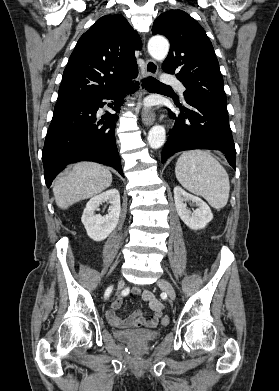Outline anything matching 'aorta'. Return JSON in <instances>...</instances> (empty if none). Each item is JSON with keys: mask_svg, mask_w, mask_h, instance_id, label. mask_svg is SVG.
Segmentation results:
<instances>
[{"mask_svg": "<svg viewBox=\"0 0 279 391\" xmlns=\"http://www.w3.org/2000/svg\"><path fill=\"white\" fill-rule=\"evenodd\" d=\"M169 51V42L164 37H152L148 42V52L157 61H163ZM166 138V131L163 126L155 125L148 133V143L153 149L160 148Z\"/></svg>", "mask_w": 279, "mask_h": 391, "instance_id": "1", "label": "aorta"}]
</instances>
